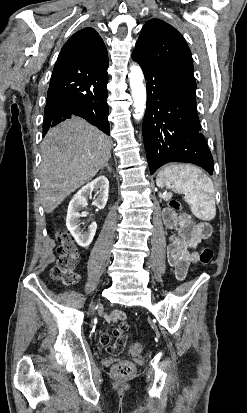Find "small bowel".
<instances>
[{
	"label": "small bowel",
	"mask_w": 247,
	"mask_h": 413,
	"mask_svg": "<svg viewBox=\"0 0 247 413\" xmlns=\"http://www.w3.org/2000/svg\"><path fill=\"white\" fill-rule=\"evenodd\" d=\"M187 222L191 226V232L186 233L185 222L181 217H177L172 210H164V224L168 229H176L168 236L167 257L170 266L174 269L175 277L178 281H183L188 273V269L199 260V256L195 249L205 239L211 235V227L208 222H193L190 218ZM126 313L122 311H113L105 315L109 322H116L114 336L119 338L111 346L109 336L100 334L98 337L99 346L101 349H108L110 355H120L125 343L128 341L126 332L129 329V324H126L124 318ZM109 329L113 328L112 324L108 325Z\"/></svg>",
	"instance_id": "1"
}]
</instances>
